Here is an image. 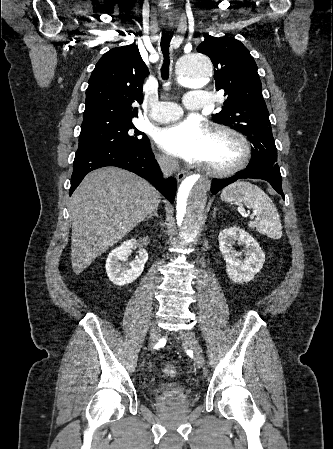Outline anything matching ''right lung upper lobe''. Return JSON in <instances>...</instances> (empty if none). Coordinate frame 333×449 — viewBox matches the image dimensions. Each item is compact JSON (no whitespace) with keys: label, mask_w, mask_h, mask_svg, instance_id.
Instances as JSON below:
<instances>
[{"label":"right lung upper lobe","mask_w":333,"mask_h":449,"mask_svg":"<svg viewBox=\"0 0 333 449\" xmlns=\"http://www.w3.org/2000/svg\"><path fill=\"white\" fill-rule=\"evenodd\" d=\"M148 68L134 44L105 53L95 66L86 90L82 126L131 120L138 116Z\"/></svg>","instance_id":"cb5924a9"}]
</instances>
